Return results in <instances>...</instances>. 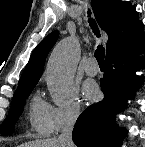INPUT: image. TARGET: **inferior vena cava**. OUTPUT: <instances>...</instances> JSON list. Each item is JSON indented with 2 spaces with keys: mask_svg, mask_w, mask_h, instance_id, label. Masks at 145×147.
<instances>
[{
  "mask_svg": "<svg viewBox=\"0 0 145 147\" xmlns=\"http://www.w3.org/2000/svg\"><path fill=\"white\" fill-rule=\"evenodd\" d=\"M78 115V110L70 114L66 120L64 127L62 128V132L58 137V142L61 144L62 147H74L72 141V130L76 123Z\"/></svg>",
  "mask_w": 145,
  "mask_h": 147,
  "instance_id": "inferior-vena-cava-1",
  "label": "inferior vena cava"
}]
</instances>
